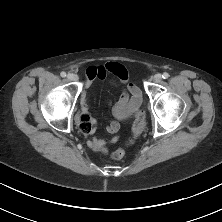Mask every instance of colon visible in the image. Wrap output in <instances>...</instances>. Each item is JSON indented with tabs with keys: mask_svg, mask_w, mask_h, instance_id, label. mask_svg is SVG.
Returning <instances> with one entry per match:
<instances>
[{
	"mask_svg": "<svg viewBox=\"0 0 222 222\" xmlns=\"http://www.w3.org/2000/svg\"><path fill=\"white\" fill-rule=\"evenodd\" d=\"M112 66L115 64H111ZM78 124H79V128L85 132L86 130H88L91 127L92 124V117L90 116V114H86V115H80L79 119H78ZM144 126V113L143 111H139L136 114V118H135V122L133 125V135L132 138L129 141V144L134 143V141L138 138V136L140 135L142 129ZM125 155V151L122 148H119L117 150H115L112 154L111 157L114 160H121Z\"/></svg>",
	"mask_w": 222,
	"mask_h": 222,
	"instance_id": "colon-1",
	"label": "colon"
}]
</instances>
